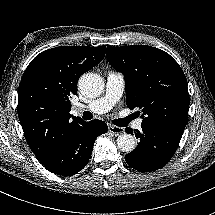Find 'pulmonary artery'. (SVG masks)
<instances>
[{
  "label": "pulmonary artery",
  "mask_w": 215,
  "mask_h": 215,
  "mask_svg": "<svg viewBox=\"0 0 215 215\" xmlns=\"http://www.w3.org/2000/svg\"><path fill=\"white\" fill-rule=\"evenodd\" d=\"M125 80L121 73L108 71L105 93L99 99L88 105L79 104L74 107L75 112L88 110L92 113L102 114L110 110L120 100L124 92ZM143 119L133 118L129 122V127L133 131L142 128Z\"/></svg>",
  "instance_id": "1"
}]
</instances>
